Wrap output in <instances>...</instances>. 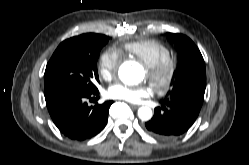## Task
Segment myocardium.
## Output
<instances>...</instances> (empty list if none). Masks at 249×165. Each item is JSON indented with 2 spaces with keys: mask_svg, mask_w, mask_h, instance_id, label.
<instances>
[{
  "mask_svg": "<svg viewBox=\"0 0 249 165\" xmlns=\"http://www.w3.org/2000/svg\"><path fill=\"white\" fill-rule=\"evenodd\" d=\"M176 70L177 63L171 57L147 66L148 78L158 93H165L172 87Z\"/></svg>",
  "mask_w": 249,
  "mask_h": 165,
  "instance_id": "1",
  "label": "myocardium"
}]
</instances>
